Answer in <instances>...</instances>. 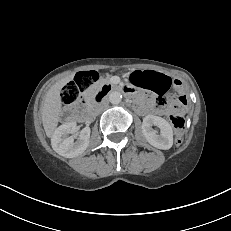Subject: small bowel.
Wrapping results in <instances>:
<instances>
[{
	"label": "small bowel",
	"mask_w": 231,
	"mask_h": 231,
	"mask_svg": "<svg viewBox=\"0 0 231 231\" xmlns=\"http://www.w3.org/2000/svg\"><path fill=\"white\" fill-rule=\"evenodd\" d=\"M140 75L144 77L143 84L141 87L150 90L152 93L156 95H161L167 93L172 88H179L178 82L173 80L170 76L152 70H144V71H137ZM131 81L133 85L137 86L133 80V76L131 77ZM132 93H135L136 90L134 88H128ZM148 105L153 104V98H149L147 101ZM144 105L139 108V112L143 113L145 110ZM170 110L172 112L182 113L183 109L175 106H171ZM166 111L165 108H157L155 109L156 113H164Z\"/></svg>",
	"instance_id": "c3829d8e"
}]
</instances>
